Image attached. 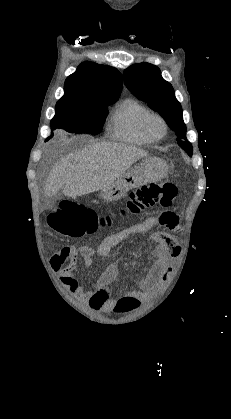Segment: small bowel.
<instances>
[{
  "label": "small bowel",
  "instance_id": "small-bowel-1",
  "mask_svg": "<svg viewBox=\"0 0 231 419\" xmlns=\"http://www.w3.org/2000/svg\"><path fill=\"white\" fill-rule=\"evenodd\" d=\"M158 224L163 225L164 232H156L152 235V240L156 243V260L146 277L137 283L136 289L122 292L118 297L111 296L108 286L115 281L117 276L115 264H109L106 267L91 290L85 291L84 287L79 284L74 275L79 258L86 266H90L93 263L95 253L102 258H107L112 248L128 236L147 232ZM179 225L180 218L178 214L172 211H165L159 216L148 217L118 233L105 237L96 250L89 246H81L79 248L65 247L60 252L62 263L52 257L51 266L59 272L61 284L71 294L85 301L92 310L107 312L114 308L121 295L132 296L138 301L144 300L153 291L167 282L173 270L171 263L180 255L181 246L176 236L166 232H177Z\"/></svg>",
  "mask_w": 231,
  "mask_h": 419
}]
</instances>
